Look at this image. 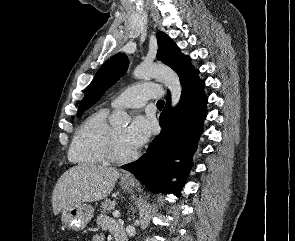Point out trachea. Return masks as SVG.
I'll use <instances>...</instances> for the list:
<instances>
[{
    "label": "trachea",
    "mask_w": 295,
    "mask_h": 241,
    "mask_svg": "<svg viewBox=\"0 0 295 241\" xmlns=\"http://www.w3.org/2000/svg\"><path fill=\"white\" fill-rule=\"evenodd\" d=\"M164 101L163 100H159L158 102H157V107H163L164 106Z\"/></svg>",
    "instance_id": "obj_1"
}]
</instances>
